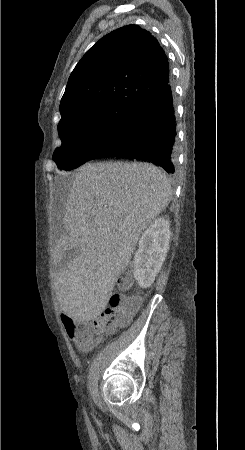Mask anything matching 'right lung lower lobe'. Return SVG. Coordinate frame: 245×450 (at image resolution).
Instances as JSON below:
<instances>
[{"label":"right lung lower lobe","mask_w":245,"mask_h":450,"mask_svg":"<svg viewBox=\"0 0 245 450\" xmlns=\"http://www.w3.org/2000/svg\"><path fill=\"white\" fill-rule=\"evenodd\" d=\"M176 121L170 83L140 106L129 117L124 134L91 159L118 157L136 159L161 166L174 173Z\"/></svg>","instance_id":"right-lung-lower-lobe-1"}]
</instances>
